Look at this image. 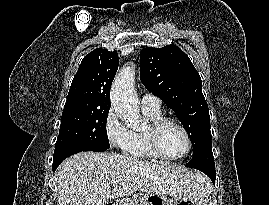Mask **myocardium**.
Segmentation results:
<instances>
[{"label": "myocardium", "mask_w": 269, "mask_h": 205, "mask_svg": "<svg viewBox=\"0 0 269 205\" xmlns=\"http://www.w3.org/2000/svg\"><path fill=\"white\" fill-rule=\"evenodd\" d=\"M168 125H174L182 130L187 140L186 152L178 157L168 156L164 153L161 147V134L164 128ZM146 138L147 143L154 155L160 159L167 161H179L186 158L192 151L193 147L192 138L188 129L180 121L170 117H161L158 120L150 123L146 129Z\"/></svg>", "instance_id": "obj_1"}]
</instances>
